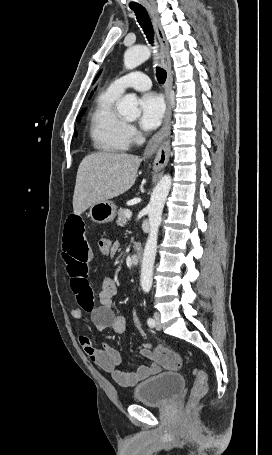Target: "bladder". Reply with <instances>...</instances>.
Returning <instances> with one entry per match:
<instances>
[{"mask_svg": "<svg viewBox=\"0 0 272 455\" xmlns=\"http://www.w3.org/2000/svg\"><path fill=\"white\" fill-rule=\"evenodd\" d=\"M185 387V378L177 372H161L139 383L133 398L139 403L151 406H166Z\"/></svg>", "mask_w": 272, "mask_h": 455, "instance_id": "31cf9c89", "label": "bladder"}]
</instances>
